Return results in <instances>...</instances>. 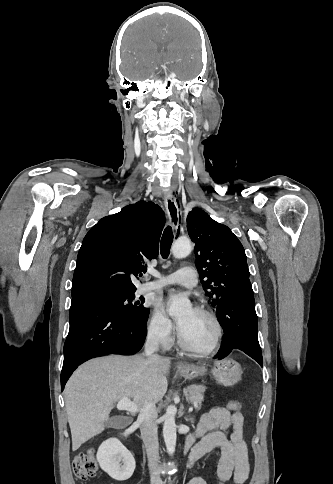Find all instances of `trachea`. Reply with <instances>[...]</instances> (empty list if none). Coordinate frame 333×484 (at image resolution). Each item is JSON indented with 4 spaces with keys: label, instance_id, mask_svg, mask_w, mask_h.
I'll use <instances>...</instances> for the list:
<instances>
[{
    "label": "trachea",
    "instance_id": "obj_1",
    "mask_svg": "<svg viewBox=\"0 0 333 484\" xmlns=\"http://www.w3.org/2000/svg\"><path fill=\"white\" fill-rule=\"evenodd\" d=\"M173 242V232L170 226H167L161 238L160 253L162 258L166 259L170 254V248Z\"/></svg>",
    "mask_w": 333,
    "mask_h": 484
}]
</instances>
